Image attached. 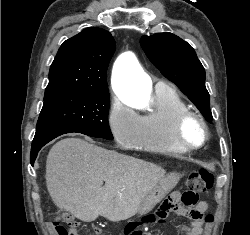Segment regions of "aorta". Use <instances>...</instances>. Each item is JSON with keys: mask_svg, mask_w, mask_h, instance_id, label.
<instances>
[{"mask_svg": "<svg viewBox=\"0 0 250 235\" xmlns=\"http://www.w3.org/2000/svg\"><path fill=\"white\" fill-rule=\"evenodd\" d=\"M114 90L121 100L131 105H144L151 92V80L138 65L132 53L122 54L113 70Z\"/></svg>", "mask_w": 250, "mask_h": 235, "instance_id": "762f6f07", "label": "aorta"}]
</instances>
